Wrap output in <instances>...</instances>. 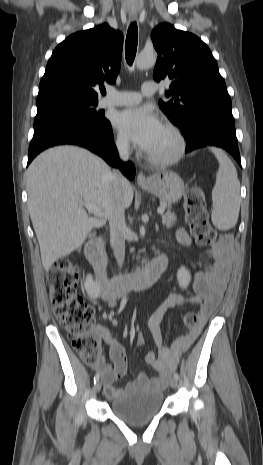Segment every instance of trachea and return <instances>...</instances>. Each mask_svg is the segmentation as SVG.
<instances>
[{
  "label": "trachea",
  "mask_w": 263,
  "mask_h": 465,
  "mask_svg": "<svg viewBox=\"0 0 263 465\" xmlns=\"http://www.w3.org/2000/svg\"><path fill=\"white\" fill-rule=\"evenodd\" d=\"M138 27L136 22H132L128 28L125 42V57L129 65H132L137 51Z\"/></svg>",
  "instance_id": "3493384b"
}]
</instances>
